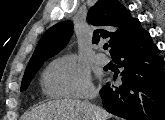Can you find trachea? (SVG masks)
Masks as SVG:
<instances>
[{"instance_id":"1","label":"trachea","mask_w":165,"mask_h":120,"mask_svg":"<svg viewBox=\"0 0 165 120\" xmlns=\"http://www.w3.org/2000/svg\"><path fill=\"white\" fill-rule=\"evenodd\" d=\"M104 49L107 50L108 49V44L104 45Z\"/></svg>"}]
</instances>
